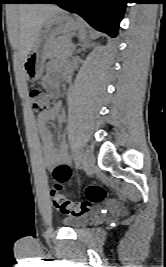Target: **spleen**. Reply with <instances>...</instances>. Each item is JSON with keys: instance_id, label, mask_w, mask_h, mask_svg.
<instances>
[{"instance_id": "1", "label": "spleen", "mask_w": 166, "mask_h": 267, "mask_svg": "<svg viewBox=\"0 0 166 267\" xmlns=\"http://www.w3.org/2000/svg\"><path fill=\"white\" fill-rule=\"evenodd\" d=\"M78 31H79L80 40H84L86 37V33H87L85 27L83 25H81V27L79 28Z\"/></svg>"}]
</instances>
